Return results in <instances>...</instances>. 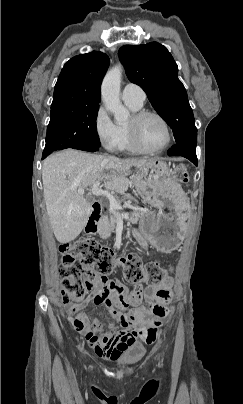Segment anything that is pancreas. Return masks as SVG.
<instances>
[{"instance_id": "cf45deb5", "label": "pancreas", "mask_w": 243, "mask_h": 404, "mask_svg": "<svg viewBox=\"0 0 243 404\" xmlns=\"http://www.w3.org/2000/svg\"><path fill=\"white\" fill-rule=\"evenodd\" d=\"M142 210H138V212L132 214V223L137 224L138 223V217L141 216ZM121 214H123L122 210H115V212H109V216H107L104 220H101V222H98L97 224V230L100 238H103V240H107V238H110L113 230L116 228V224L118 222V218H120ZM128 223H131V220H128Z\"/></svg>"}]
</instances>
